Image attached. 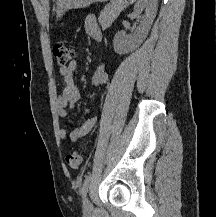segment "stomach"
<instances>
[{
	"mask_svg": "<svg viewBox=\"0 0 216 217\" xmlns=\"http://www.w3.org/2000/svg\"><path fill=\"white\" fill-rule=\"evenodd\" d=\"M108 0H56V18L61 19L66 11L70 9H81L92 3L107 2Z\"/></svg>",
	"mask_w": 216,
	"mask_h": 217,
	"instance_id": "stomach-1",
	"label": "stomach"
}]
</instances>
